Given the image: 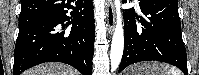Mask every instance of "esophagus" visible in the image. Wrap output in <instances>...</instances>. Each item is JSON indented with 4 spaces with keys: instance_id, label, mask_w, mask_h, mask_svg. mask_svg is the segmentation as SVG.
I'll return each mask as SVG.
<instances>
[{
    "instance_id": "34e87169",
    "label": "esophagus",
    "mask_w": 199,
    "mask_h": 75,
    "mask_svg": "<svg viewBox=\"0 0 199 75\" xmlns=\"http://www.w3.org/2000/svg\"><path fill=\"white\" fill-rule=\"evenodd\" d=\"M106 10H107V26L109 32L112 33L115 25V12L113 8L112 0H106Z\"/></svg>"
}]
</instances>
